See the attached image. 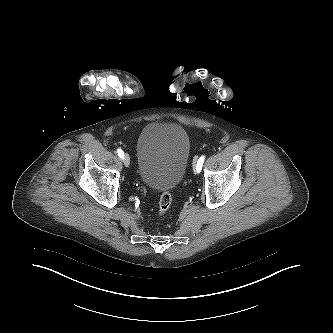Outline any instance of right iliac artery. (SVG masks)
<instances>
[{
    "label": "right iliac artery",
    "instance_id": "right-iliac-artery-1",
    "mask_svg": "<svg viewBox=\"0 0 333 333\" xmlns=\"http://www.w3.org/2000/svg\"><path fill=\"white\" fill-rule=\"evenodd\" d=\"M117 153H118V156L120 157V158H124V152H123V150L122 149H120V148H118L117 149Z\"/></svg>",
    "mask_w": 333,
    "mask_h": 333
}]
</instances>
